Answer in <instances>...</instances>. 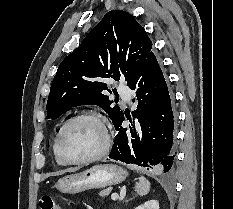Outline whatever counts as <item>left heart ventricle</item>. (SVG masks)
<instances>
[{
    "instance_id": "b2bd125f",
    "label": "left heart ventricle",
    "mask_w": 233,
    "mask_h": 209,
    "mask_svg": "<svg viewBox=\"0 0 233 209\" xmlns=\"http://www.w3.org/2000/svg\"><path fill=\"white\" fill-rule=\"evenodd\" d=\"M103 142L101 126L94 120L81 119L67 129L62 141V151L69 159H81L99 151Z\"/></svg>"
}]
</instances>
